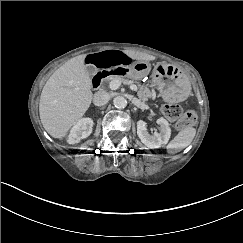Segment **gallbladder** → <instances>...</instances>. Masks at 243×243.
Returning <instances> with one entry per match:
<instances>
[{"instance_id": "bac80fb5", "label": "gallbladder", "mask_w": 243, "mask_h": 243, "mask_svg": "<svg viewBox=\"0 0 243 243\" xmlns=\"http://www.w3.org/2000/svg\"><path fill=\"white\" fill-rule=\"evenodd\" d=\"M86 72L88 73L89 76H92L93 73L96 71V67L92 65H87L85 67Z\"/></svg>"}]
</instances>
